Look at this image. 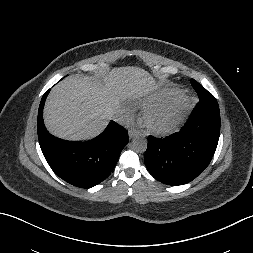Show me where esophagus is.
<instances>
[{"mask_svg":"<svg viewBox=\"0 0 253 253\" xmlns=\"http://www.w3.org/2000/svg\"><path fill=\"white\" fill-rule=\"evenodd\" d=\"M138 134V131L136 129H130L128 131L129 138L132 139L134 136Z\"/></svg>","mask_w":253,"mask_h":253,"instance_id":"esophagus-1","label":"esophagus"}]
</instances>
